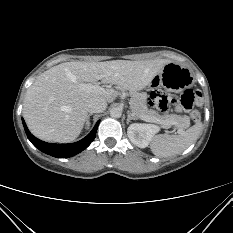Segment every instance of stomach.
Returning a JSON list of instances; mask_svg holds the SVG:
<instances>
[{
	"label": "stomach",
	"instance_id": "stomach-1",
	"mask_svg": "<svg viewBox=\"0 0 233 233\" xmlns=\"http://www.w3.org/2000/svg\"><path fill=\"white\" fill-rule=\"evenodd\" d=\"M192 84L193 75L188 68L169 62L158 74L152 76L146 83V88L152 89L161 85L170 91L181 92Z\"/></svg>",
	"mask_w": 233,
	"mask_h": 233
}]
</instances>
